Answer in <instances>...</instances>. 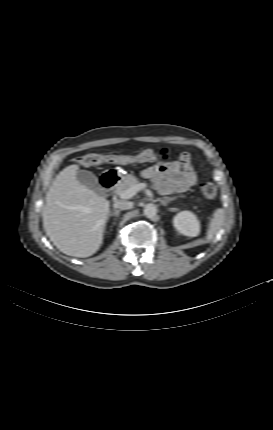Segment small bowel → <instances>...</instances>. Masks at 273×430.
<instances>
[{"label": "small bowel", "mask_w": 273, "mask_h": 430, "mask_svg": "<svg viewBox=\"0 0 273 430\" xmlns=\"http://www.w3.org/2000/svg\"><path fill=\"white\" fill-rule=\"evenodd\" d=\"M142 174L146 178H152L162 193L184 192L197 182V175L187 153H183L179 160L160 161L145 169Z\"/></svg>", "instance_id": "obj_1"}]
</instances>
